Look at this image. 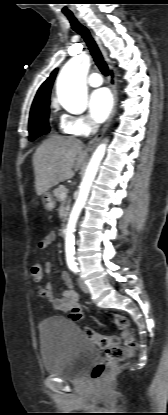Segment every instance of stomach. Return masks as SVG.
<instances>
[{"instance_id":"stomach-1","label":"stomach","mask_w":168,"mask_h":415,"mask_svg":"<svg viewBox=\"0 0 168 415\" xmlns=\"http://www.w3.org/2000/svg\"><path fill=\"white\" fill-rule=\"evenodd\" d=\"M42 203H43L44 208L47 211H51L55 207V201H54L52 195L48 192L43 194Z\"/></svg>"}]
</instances>
